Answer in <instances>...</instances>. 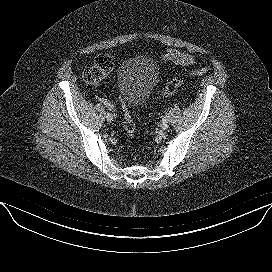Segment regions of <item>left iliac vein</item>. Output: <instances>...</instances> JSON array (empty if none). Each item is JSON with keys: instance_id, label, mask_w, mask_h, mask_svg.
<instances>
[{"instance_id": "1", "label": "left iliac vein", "mask_w": 272, "mask_h": 272, "mask_svg": "<svg viewBox=\"0 0 272 272\" xmlns=\"http://www.w3.org/2000/svg\"><path fill=\"white\" fill-rule=\"evenodd\" d=\"M160 127L163 129V130H166L169 128V122L166 120V121H162L160 123Z\"/></svg>"}]
</instances>
